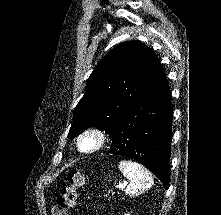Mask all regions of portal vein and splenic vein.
Segmentation results:
<instances>
[{"instance_id": "1", "label": "portal vein and splenic vein", "mask_w": 221, "mask_h": 215, "mask_svg": "<svg viewBox=\"0 0 221 215\" xmlns=\"http://www.w3.org/2000/svg\"><path fill=\"white\" fill-rule=\"evenodd\" d=\"M126 185H127V182H125L124 184H120L117 186V189H123L126 187Z\"/></svg>"}]
</instances>
